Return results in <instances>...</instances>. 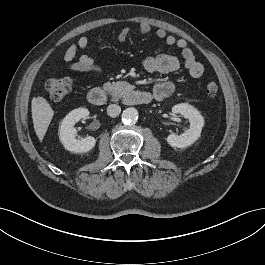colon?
<instances>
[{"label": "colon", "instance_id": "5ec220e1", "mask_svg": "<svg viewBox=\"0 0 265 265\" xmlns=\"http://www.w3.org/2000/svg\"><path fill=\"white\" fill-rule=\"evenodd\" d=\"M71 80L69 78H50L46 81L45 89L50 98L54 101L64 99L71 91ZM206 93L213 97L218 93V85L215 82H209L206 85Z\"/></svg>", "mask_w": 265, "mask_h": 265}]
</instances>
